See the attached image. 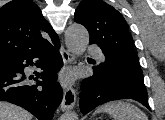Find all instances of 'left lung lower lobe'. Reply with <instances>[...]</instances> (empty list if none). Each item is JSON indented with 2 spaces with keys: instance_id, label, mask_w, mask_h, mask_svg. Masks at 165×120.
Returning <instances> with one entry per match:
<instances>
[{
  "instance_id": "left-lung-lower-lobe-1",
  "label": "left lung lower lobe",
  "mask_w": 165,
  "mask_h": 120,
  "mask_svg": "<svg viewBox=\"0 0 165 120\" xmlns=\"http://www.w3.org/2000/svg\"><path fill=\"white\" fill-rule=\"evenodd\" d=\"M89 63L94 64L90 61ZM119 99H133L150 109L143 83L121 78L109 65H94L93 75L84 79L81 84L79 104L82 114H87L101 104Z\"/></svg>"
}]
</instances>
